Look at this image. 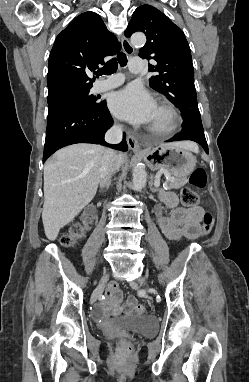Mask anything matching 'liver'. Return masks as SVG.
I'll return each instance as SVG.
<instances>
[{"label": "liver", "mask_w": 249, "mask_h": 382, "mask_svg": "<svg viewBox=\"0 0 249 382\" xmlns=\"http://www.w3.org/2000/svg\"><path fill=\"white\" fill-rule=\"evenodd\" d=\"M198 152L192 142H177ZM105 149L78 143L58 150L44 166V205L42 221L46 237L54 241L62 227L69 224L94 198L105 163ZM125 162L119 154L117 164Z\"/></svg>", "instance_id": "6515ba94"}]
</instances>
